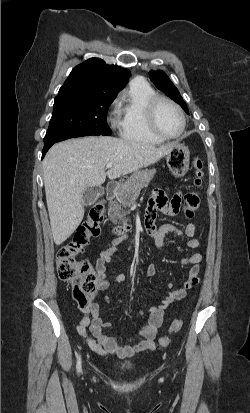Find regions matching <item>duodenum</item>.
Wrapping results in <instances>:
<instances>
[{
    "label": "duodenum",
    "mask_w": 250,
    "mask_h": 413,
    "mask_svg": "<svg viewBox=\"0 0 250 413\" xmlns=\"http://www.w3.org/2000/svg\"><path fill=\"white\" fill-rule=\"evenodd\" d=\"M115 191H116V185L114 183L108 184L106 187V192H105L106 197L113 198L115 195ZM127 229H128L127 226H118L115 228V232L118 234H121L125 232Z\"/></svg>",
    "instance_id": "1"
}]
</instances>
